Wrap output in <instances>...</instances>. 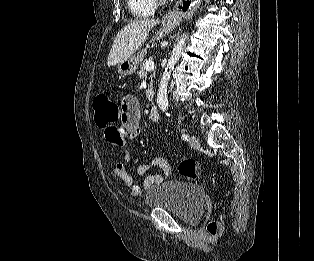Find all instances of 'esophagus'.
I'll use <instances>...</instances> for the list:
<instances>
[{"label": "esophagus", "instance_id": "obj_1", "mask_svg": "<svg viewBox=\"0 0 314 261\" xmlns=\"http://www.w3.org/2000/svg\"><path fill=\"white\" fill-rule=\"evenodd\" d=\"M201 3V0H197L196 2H194L192 5L189 6V9H187V11H183V9H176L175 12H172L173 16L175 17V15L179 14V15H184L185 13L189 14H193V12L197 9V7H199Z\"/></svg>", "mask_w": 314, "mask_h": 261}]
</instances>
